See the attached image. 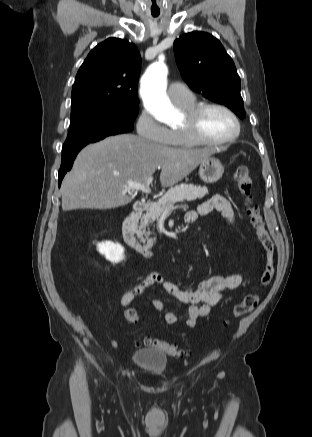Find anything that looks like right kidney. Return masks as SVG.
I'll list each match as a JSON object with an SVG mask.
<instances>
[{
  "label": "right kidney",
  "instance_id": "1",
  "mask_svg": "<svg viewBox=\"0 0 312 437\" xmlns=\"http://www.w3.org/2000/svg\"><path fill=\"white\" fill-rule=\"evenodd\" d=\"M98 251L113 263H118L124 259V248L120 244L110 241L102 242L98 244Z\"/></svg>",
  "mask_w": 312,
  "mask_h": 437
}]
</instances>
